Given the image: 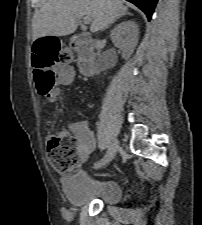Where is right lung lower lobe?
I'll return each instance as SVG.
<instances>
[{"instance_id": "right-lung-lower-lobe-1", "label": "right lung lower lobe", "mask_w": 202, "mask_h": 225, "mask_svg": "<svg viewBox=\"0 0 202 225\" xmlns=\"http://www.w3.org/2000/svg\"><path fill=\"white\" fill-rule=\"evenodd\" d=\"M127 1L138 6L147 15L148 20H150L158 0H127Z\"/></svg>"}]
</instances>
